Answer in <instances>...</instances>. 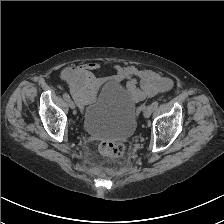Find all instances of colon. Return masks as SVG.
Instances as JSON below:
<instances>
[{
	"label": "colon",
	"mask_w": 224,
	"mask_h": 224,
	"mask_svg": "<svg viewBox=\"0 0 224 224\" xmlns=\"http://www.w3.org/2000/svg\"><path fill=\"white\" fill-rule=\"evenodd\" d=\"M70 91L80 103L92 101L97 94L98 86L90 70L79 68L69 77ZM100 152L107 157H119L124 152V145L116 140L106 139L99 144Z\"/></svg>",
	"instance_id": "5ec220e1"
}]
</instances>
